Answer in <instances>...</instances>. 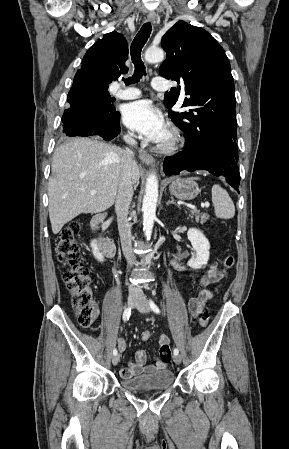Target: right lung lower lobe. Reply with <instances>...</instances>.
Returning a JSON list of instances; mask_svg holds the SVG:
<instances>
[{
  "label": "right lung lower lobe",
  "instance_id": "98d812e1",
  "mask_svg": "<svg viewBox=\"0 0 289 449\" xmlns=\"http://www.w3.org/2000/svg\"><path fill=\"white\" fill-rule=\"evenodd\" d=\"M89 86L74 82L68 93L70 104L62 118L63 132L68 136H99L104 140H112L120 133V113L114 108L106 120H85L79 118V113L91 95Z\"/></svg>",
  "mask_w": 289,
  "mask_h": 449
}]
</instances>
